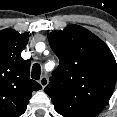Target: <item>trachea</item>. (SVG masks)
<instances>
[{"label": "trachea", "mask_w": 117, "mask_h": 117, "mask_svg": "<svg viewBox=\"0 0 117 117\" xmlns=\"http://www.w3.org/2000/svg\"><path fill=\"white\" fill-rule=\"evenodd\" d=\"M32 75H31V77L33 78V79H35V80H39L40 79V75H41V67H40V65L39 64H34L33 66H32Z\"/></svg>", "instance_id": "1"}]
</instances>
